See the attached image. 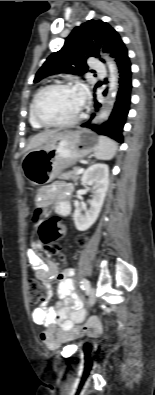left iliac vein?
Masks as SVG:
<instances>
[{
	"label": "left iliac vein",
	"mask_w": 155,
	"mask_h": 395,
	"mask_svg": "<svg viewBox=\"0 0 155 395\" xmlns=\"http://www.w3.org/2000/svg\"><path fill=\"white\" fill-rule=\"evenodd\" d=\"M95 301H96L95 290L94 288H90L88 293V305L92 307L95 304Z\"/></svg>",
	"instance_id": "left-iliac-vein-1"
}]
</instances>
